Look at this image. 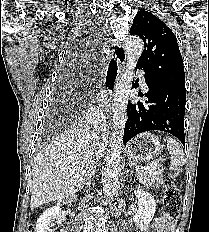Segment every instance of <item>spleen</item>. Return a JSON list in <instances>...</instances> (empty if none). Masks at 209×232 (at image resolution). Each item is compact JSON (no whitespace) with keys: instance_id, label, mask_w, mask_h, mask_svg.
Returning <instances> with one entry per match:
<instances>
[{"instance_id":"obj_1","label":"spleen","mask_w":209,"mask_h":232,"mask_svg":"<svg viewBox=\"0 0 209 232\" xmlns=\"http://www.w3.org/2000/svg\"><path fill=\"white\" fill-rule=\"evenodd\" d=\"M167 149L171 155V169L175 170L177 167L186 163L185 153L181 145L173 138H167Z\"/></svg>"}]
</instances>
